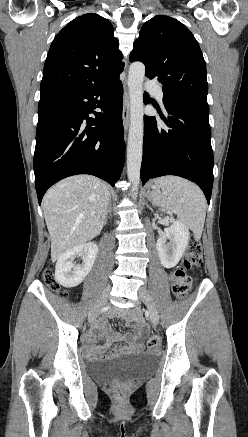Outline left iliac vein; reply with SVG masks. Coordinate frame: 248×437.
<instances>
[{
	"label": "left iliac vein",
	"instance_id": "1",
	"mask_svg": "<svg viewBox=\"0 0 248 437\" xmlns=\"http://www.w3.org/2000/svg\"><path fill=\"white\" fill-rule=\"evenodd\" d=\"M138 295L148 309L150 321L154 325H157L159 322V315H158L156 304L152 296L150 295L149 291L147 290L146 287H140L138 290Z\"/></svg>",
	"mask_w": 248,
	"mask_h": 437
}]
</instances>
